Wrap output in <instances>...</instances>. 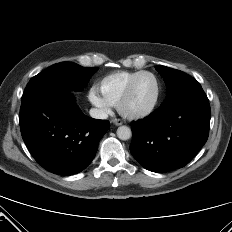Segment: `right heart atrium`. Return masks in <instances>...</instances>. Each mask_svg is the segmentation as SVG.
<instances>
[{
  "mask_svg": "<svg viewBox=\"0 0 232 232\" xmlns=\"http://www.w3.org/2000/svg\"><path fill=\"white\" fill-rule=\"evenodd\" d=\"M90 103L97 108L100 114L107 115L111 112V105L99 94L96 88L92 87L88 92Z\"/></svg>",
  "mask_w": 232,
  "mask_h": 232,
  "instance_id": "obj_1",
  "label": "right heart atrium"
}]
</instances>
